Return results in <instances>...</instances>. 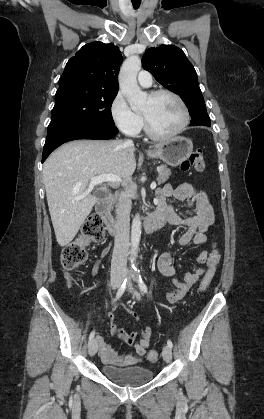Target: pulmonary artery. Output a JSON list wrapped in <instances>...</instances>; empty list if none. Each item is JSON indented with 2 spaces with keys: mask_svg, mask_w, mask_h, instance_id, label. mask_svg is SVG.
Listing matches in <instances>:
<instances>
[{
  "mask_svg": "<svg viewBox=\"0 0 264 419\" xmlns=\"http://www.w3.org/2000/svg\"><path fill=\"white\" fill-rule=\"evenodd\" d=\"M137 80L142 87H150L152 85V76L146 70L139 72Z\"/></svg>",
  "mask_w": 264,
  "mask_h": 419,
  "instance_id": "pulmonary-artery-1",
  "label": "pulmonary artery"
}]
</instances>
